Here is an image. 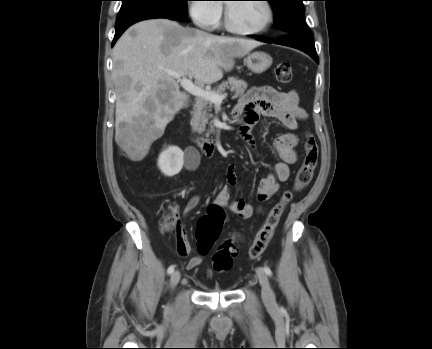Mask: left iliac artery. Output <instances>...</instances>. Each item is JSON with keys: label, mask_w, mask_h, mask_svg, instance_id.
<instances>
[{"label": "left iliac artery", "mask_w": 432, "mask_h": 349, "mask_svg": "<svg viewBox=\"0 0 432 349\" xmlns=\"http://www.w3.org/2000/svg\"><path fill=\"white\" fill-rule=\"evenodd\" d=\"M264 271H265V273H266L268 276H272V271H271V269H270L268 266H265V267H264Z\"/></svg>", "instance_id": "left-iliac-artery-1"}]
</instances>
